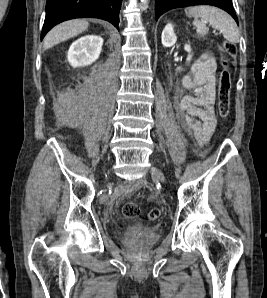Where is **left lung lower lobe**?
<instances>
[{"label":"left lung lower lobe","mask_w":267,"mask_h":298,"mask_svg":"<svg viewBox=\"0 0 267 298\" xmlns=\"http://www.w3.org/2000/svg\"><path fill=\"white\" fill-rule=\"evenodd\" d=\"M212 5L227 11L237 22L232 0H155V18L156 20L168 10L192 5Z\"/></svg>","instance_id":"left-lung-lower-lobe-1"}]
</instances>
